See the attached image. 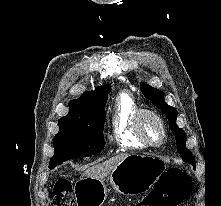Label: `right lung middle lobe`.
<instances>
[{"label":"right lung middle lobe","mask_w":221,"mask_h":206,"mask_svg":"<svg viewBox=\"0 0 221 206\" xmlns=\"http://www.w3.org/2000/svg\"><path fill=\"white\" fill-rule=\"evenodd\" d=\"M105 109L68 114L59 119V132L54 137L55 154L50 160V168L72 158H80L99 153L105 146L103 128Z\"/></svg>","instance_id":"1"}]
</instances>
